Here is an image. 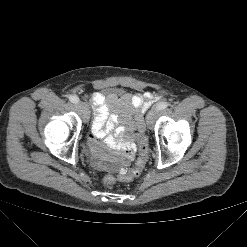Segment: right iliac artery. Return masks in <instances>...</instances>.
I'll use <instances>...</instances> for the list:
<instances>
[{"instance_id":"82829eb1","label":"right iliac artery","mask_w":247,"mask_h":247,"mask_svg":"<svg viewBox=\"0 0 247 247\" xmlns=\"http://www.w3.org/2000/svg\"><path fill=\"white\" fill-rule=\"evenodd\" d=\"M68 98H69V101L72 103H78L79 102V98L75 95H70Z\"/></svg>"}]
</instances>
